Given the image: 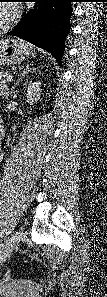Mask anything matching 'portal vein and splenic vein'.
Listing matches in <instances>:
<instances>
[{"mask_svg": "<svg viewBox=\"0 0 107 297\" xmlns=\"http://www.w3.org/2000/svg\"><path fill=\"white\" fill-rule=\"evenodd\" d=\"M8 80H9V81H12V80H13V76L10 75V76L8 77Z\"/></svg>", "mask_w": 107, "mask_h": 297, "instance_id": "obj_1", "label": "portal vein and splenic vein"}]
</instances>
